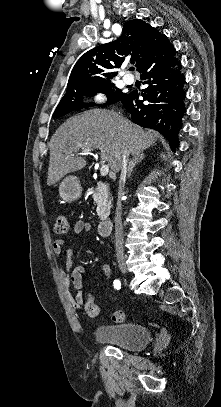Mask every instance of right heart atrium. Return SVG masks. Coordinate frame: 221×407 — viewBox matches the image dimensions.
<instances>
[{"instance_id":"right-heart-atrium-1","label":"right heart atrium","mask_w":221,"mask_h":407,"mask_svg":"<svg viewBox=\"0 0 221 407\" xmlns=\"http://www.w3.org/2000/svg\"><path fill=\"white\" fill-rule=\"evenodd\" d=\"M107 101V95L103 92H97L93 95V102L95 104H104Z\"/></svg>"}]
</instances>
